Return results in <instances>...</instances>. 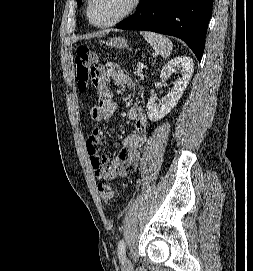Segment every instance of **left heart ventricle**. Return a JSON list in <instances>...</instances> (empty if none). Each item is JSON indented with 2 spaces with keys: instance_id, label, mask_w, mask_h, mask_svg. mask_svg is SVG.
<instances>
[{
  "instance_id": "obj_1",
  "label": "left heart ventricle",
  "mask_w": 253,
  "mask_h": 271,
  "mask_svg": "<svg viewBox=\"0 0 253 271\" xmlns=\"http://www.w3.org/2000/svg\"><path fill=\"white\" fill-rule=\"evenodd\" d=\"M131 0H93L91 13L99 24L108 23L125 12Z\"/></svg>"
}]
</instances>
